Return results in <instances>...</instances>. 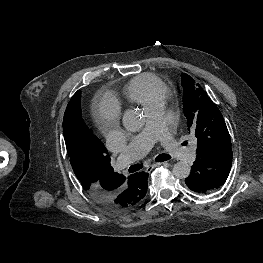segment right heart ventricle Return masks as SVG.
Masks as SVG:
<instances>
[{
  "label": "right heart ventricle",
  "instance_id": "e07e8e85",
  "mask_svg": "<svg viewBox=\"0 0 263 263\" xmlns=\"http://www.w3.org/2000/svg\"><path fill=\"white\" fill-rule=\"evenodd\" d=\"M167 94L168 89L165 83L151 74L134 77L124 87L125 97L147 110L156 103L164 101Z\"/></svg>",
  "mask_w": 263,
  "mask_h": 263
}]
</instances>
